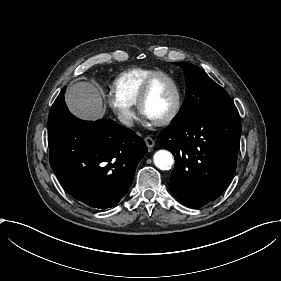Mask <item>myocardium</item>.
I'll return each mask as SVG.
<instances>
[{
  "label": "myocardium",
  "instance_id": "1",
  "mask_svg": "<svg viewBox=\"0 0 281 281\" xmlns=\"http://www.w3.org/2000/svg\"><path fill=\"white\" fill-rule=\"evenodd\" d=\"M161 81H167L173 86L174 91H175V103H174L171 113L165 119L160 120V121H151L146 117V115L144 113V104L150 97L154 87ZM137 107H138L139 113L144 118L148 119L154 125L166 126V125L171 124L177 118V116L179 115L181 108H182V90H181L179 83L173 76H171L170 74H167V73L152 76L145 83V85L139 95V98L137 101Z\"/></svg>",
  "mask_w": 281,
  "mask_h": 281
}]
</instances>
